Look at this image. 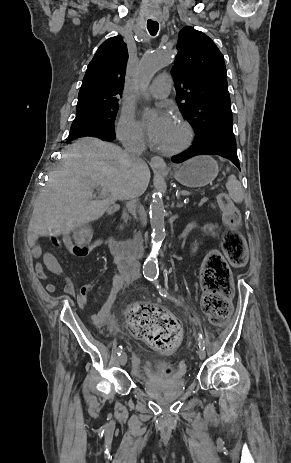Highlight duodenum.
<instances>
[{"instance_id": "1", "label": "duodenum", "mask_w": 291, "mask_h": 463, "mask_svg": "<svg viewBox=\"0 0 291 463\" xmlns=\"http://www.w3.org/2000/svg\"><path fill=\"white\" fill-rule=\"evenodd\" d=\"M122 206L117 203H111L108 208L110 215H115L118 210H121ZM107 244L115 256H131L133 258H139L141 255V236L135 235L133 238L128 240H118L114 237L107 239Z\"/></svg>"}]
</instances>
